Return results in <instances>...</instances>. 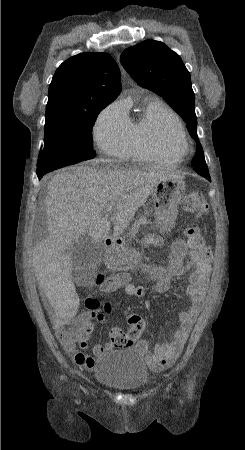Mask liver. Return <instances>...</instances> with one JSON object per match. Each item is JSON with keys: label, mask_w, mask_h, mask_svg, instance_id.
Wrapping results in <instances>:
<instances>
[{"label": "liver", "mask_w": 245, "mask_h": 450, "mask_svg": "<svg viewBox=\"0 0 245 450\" xmlns=\"http://www.w3.org/2000/svg\"><path fill=\"white\" fill-rule=\"evenodd\" d=\"M165 178L182 177L163 170L75 166L51 178L45 197L49 236L33 249L32 263L38 284L61 317L72 318L79 306L67 253L70 244L83 235L97 243L104 241L110 222L112 236L118 238L155 184ZM108 205L114 207L109 219L105 216Z\"/></svg>", "instance_id": "1"}]
</instances>
